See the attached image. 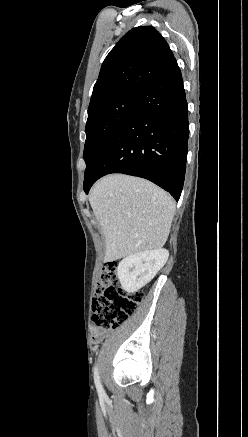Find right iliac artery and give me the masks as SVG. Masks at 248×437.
Returning <instances> with one entry per match:
<instances>
[{
  "instance_id": "82829eb1",
  "label": "right iliac artery",
  "mask_w": 248,
  "mask_h": 437,
  "mask_svg": "<svg viewBox=\"0 0 248 437\" xmlns=\"http://www.w3.org/2000/svg\"><path fill=\"white\" fill-rule=\"evenodd\" d=\"M94 381H95V385H96L98 394L101 396L104 395V390H103V387H102L101 382H100V377H99L97 366H95V368H94Z\"/></svg>"
}]
</instances>
